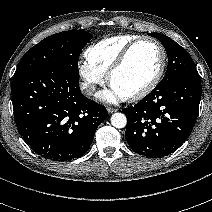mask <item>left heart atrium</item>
Returning a JSON list of instances; mask_svg holds the SVG:
<instances>
[{"mask_svg":"<svg viewBox=\"0 0 212 212\" xmlns=\"http://www.w3.org/2000/svg\"><path fill=\"white\" fill-rule=\"evenodd\" d=\"M100 97L109 102H118L127 98L124 94L120 93L112 86H111V89L101 93Z\"/></svg>","mask_w":212,"mask_h":212,"instance_id":"left-heart-atrium-1","label":"left heart atrium"}]
</instances>
